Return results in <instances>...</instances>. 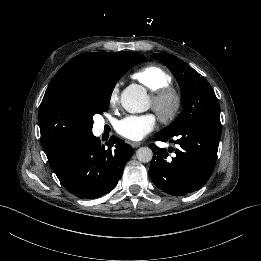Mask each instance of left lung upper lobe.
<instances>
[{
  "mask_svg": "<svg viewBox=\"0 0 261 261\" xmlns=\"http://www.w3.org/2000/svg\"><path fill=\"white\" fill-rule=\"evenodd\" d=\"M151 57L168 67L182 92L183 111L160 133L175 136L186 128L201 123L220 127L219 103L208 81L176 56L156 53Z\"/></svg>",
  "mask_w": 261,
  "mask_h": 261,
  "instance_id": "1",
  "label": "left lung upper lobe"
}]
</instances>
